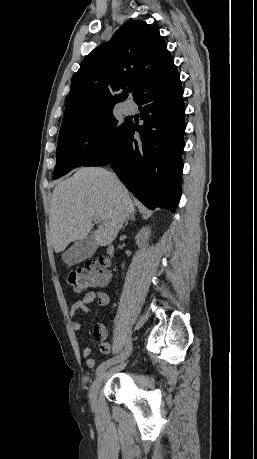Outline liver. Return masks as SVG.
<instances>
[{
	"label": "liver",
	"instance_id": "1",
	"mask_svg": "<svg viewBox=\"0 0 257 459\" xmlns=\"http://www.w3.org/2000/svg\"><path fill=\"white\" fill-rule=\"evenodd\" d=\"M134 213L129 193L115 174L100 167H82L53 190L49 216L53 249L59 253L84 239L95 216L102 222L94 232L96 244L106 246Z\"/></svg>",
	"mask_w": 257,
	"mask_h": 459
}]
</instances>
